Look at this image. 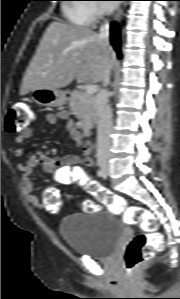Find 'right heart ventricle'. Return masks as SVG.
Wrapping results in <instances>:
<instances>
[{"label":"right heart ventricle","instance_id":"obj_1","mask_svg":"<svg viewBox=\"0 0 180 299\" xmlns=\"http://www.w3.org/2000/svg\"><path fill=\"white\" fill-rule=\"evenodd\" d=\"M89 6L88 4L67 5L64 9L67 20L75 26L87 27L92 25L94 18L89 10Z\"/></svg>","mask_w":180,"mask_h":299}]
</instances>
